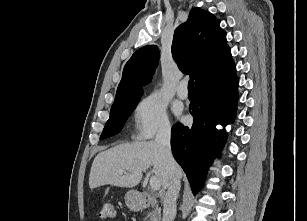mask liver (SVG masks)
Returning a JSON list of instances; mask_svg holds the SVG:
<instances>
[{
    "label": "liver",
    "mask_w": 307,
    "mask_h": 221,
    "mask_svg": "<svg viewBox=\"0 0 307 221\" xmlns=\"http://www.w3.org/2000/svg\"><path fill=\"white\" fill-rule=\"evenodd\" d=\"M153 167L155 177L164 189L170 184V169L163 151L153 141H135L116 145L100 152L94 159L89 176L91 189L113 185L132 188L140 183L143 172ZM123 171L124 174H120ZM175 173L182 177V170L176 163Z\"/></svg>",
    "instance_id": "1"
}]
</instances>
